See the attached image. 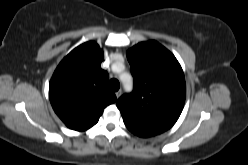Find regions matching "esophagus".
<instances>
[{
	"label": "esophagus",
	"instance_id": "34e87169",
	"mask_svg": "<svg viewBox=\"0 0 248 165\" xmlns=\"http://www.w3.org/2000/svg\"><path fill=\"white\" fill-rule=\"evenodd\" d=\"M121 94H122L121 90H118L117 92H115L117 99L121 96Z\"/></svg>",
	"mask_w": 248,
	"mask_h": 165
}]
</instances>
